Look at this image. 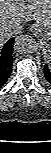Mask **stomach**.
Here are the masks:
<instances>
[{"mask_svg": "<svg viewBox=\"0 0 51 153\" xmlns=\"http://www.w3.org/2000/svg\"><path fill=\"white\" fill-rule=\"evenodd\" d=\"M38 27V37L40 39L41 45L44 47V49H50L51 47V25L50 26H44L42 24L36 25Z\"/></svg>", "mask_w": 51, "mask_h": 153, "instance_id": "1", "label": "stomach"}]
</instances>
